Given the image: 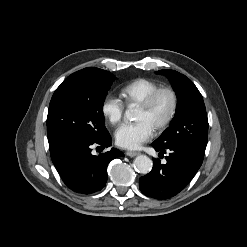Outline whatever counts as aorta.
<instances>
[{"label": "aorta", "instance_id": "762f6f07", "mask_svg": "<svg viewBox=\"0 0 247 247\" xmlns=\"http://www.w3.org/2000/svg\"><path fill=\"white\" fill-rule=\"evenodd\" d=\"M125 118L128 120L134 119V110L129 108L125 112ZM152 160L146 155H139L134 159L135 170L141 174H147L152 170Z\"/></svg>", "mask_w": 247, "mask_h": 247}]
</instances>
